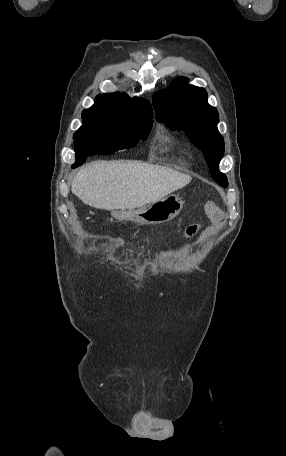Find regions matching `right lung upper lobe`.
<instances>
[{
    "mask_svg": "<svg viewBox=\"0 0 286 456\" xmlns=\"http://www.w3.org/2000/svg\"><path fill=\"white\" fill-rule=\"evenodd\" d=\"M90 111L106 112L128 119L153 120L152 107L147 100L130 98L124 93L98 95Z\"/></svg>",
    "mask_w": 286,
    "mask_h": 456,
    "instance_id": "right-lung-upper-lobe-1",
    "label": "right lung upper lobe"
}]
</instances>
